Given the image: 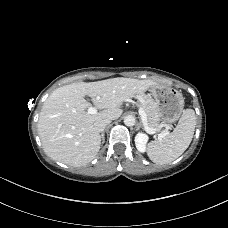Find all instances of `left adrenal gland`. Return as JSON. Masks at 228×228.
I'll use <instances>...</instances> for the list:
<instances>
[{"mask_svg":"<svg viewBox=\"0 0 228 228\" xmlns=\"http://www.w3.org/2000/svg\"><path fill=\"white\" fill-rule=\"evenodd\" d=\"M140 128L144 129V128H143V124H142V122H140V123L138 124V126H137V130H138V129H140Z\"/></svg>","mask_w":228,"mask_h":228,"instance_id":"a2214340","label":"left adrenal gland"}]
</instances>
